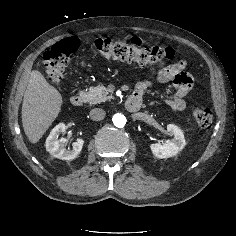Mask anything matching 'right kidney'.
I'll list each match as a JSON object with an SVG mask.
<instances>
[{
  "label": "right kidney",
  "mask_w": 236,
  "mask_h": 236,
  "mask_svg": "<svg viewBox=\"0 0 236 236\" xmlns=\"http://www.w3.org/2000/svg\"><path fill=\"white\" fill-rule=\"evenodd\" d=\"M66 132V126L64 123H59L50 132L46 139V150L55 158L61 160H72L75 159L81 152L84 140L78 138L74 142L72 149H65V138L58 139L59 135Z\"/></svg>",
  "instance_id": "1"
}]
</instances>
